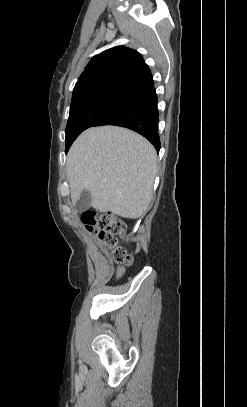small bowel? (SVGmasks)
I'll list each match as a JSON object with an SVG mask.
<instances>
[{
  "label": "small bowel",
  "instance_id": "1",
  "mask_svg": "<svg viewBox=\"0 0 247 407\" xmlns=\"http://www.w3.org/2000/svg\"><path fill=\"white\" fill-rule=\"evenodd\" d=\"M116 271H117V274H118V275H121V274L123 273V269H122V268H118Z\"/></svg>",
  "mask_w": 247,
  "mask_h": 407
}]
</instances>
